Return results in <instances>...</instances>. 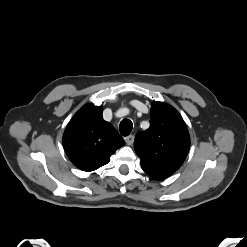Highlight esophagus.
I'll use <instances>...</instances> for the list:
<instances>
[{"label":"esophagus","instance_id":"34e87169","mask_svg":"<svg viewBox=\"0 0 247 247\" xmlns=\"http://www.w3.org/2000/svg\"><path fill=\"white\" fill-rule=\"evenodd\" d=\"M125 142L127 145H132L134 143V136L129 135V136L125 137Z\"/></svg>","mask_w":247,"mask_h":247}]
</instances>
